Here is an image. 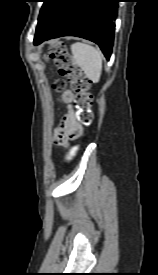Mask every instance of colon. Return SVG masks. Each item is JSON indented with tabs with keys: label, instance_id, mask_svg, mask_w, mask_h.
<instances>
[{
	"label": "colon",
	"instance_id": "colon-1",
	"mask_svg": "<svg viewBox=\"0 0 158 275\" xmlns=\"http://www.w3.org/2000/svg\"><path fill=\"white\" fill-rule=\"evenodd\" d=\"M50 58L58 68L60 75L71 83L76 93L74 100L77 109L76 120L84 126L90 125L93 119V98L89 92V80L74 61L65 44H54L50 50ZM65 87L66 81L64 79H58L54 84L57 91H62Z\"/></svg>",
	"mask_w": 158,
	"mask_h": 275
}]
</instances>
